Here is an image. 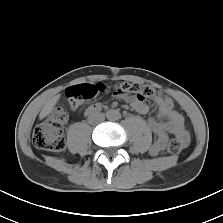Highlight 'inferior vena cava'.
Returning <instances> with one entry per match:
<instances>
[{"instance_id": "602c4592", "label": "inferior vena cava", "mask_w": 223, "mask_h": 223, "mask_svg": "<svg viewBox=\"0 0 223 223\" xmlns=\"http://www.w3.org/2000/svg\"><path fill=\"white\" fill-rule=\"evenodd\" d=\"M105 119L104 114L102 113H94L91 117H90V121L92 120H97V122H101Z\"/></svg>"}]
</instances>
